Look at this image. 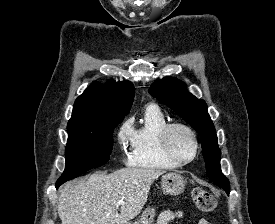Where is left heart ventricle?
<instances>
[{"instance_id": "1", "label": "left heart ventricle", "mask_w": 275, "mask_h": 224, "mask_svg": "<svg viewBox=\"0 0 275 224\" xmlns=\"http://www.w3.org/2000/svg\"><path fill=\"white\" fill-rule=\"evenodd\" d=\"M171 148L181 158H189L194 153V143L191 137L182 130H176L171 135Z\"/></svg>"}]
</instances>
